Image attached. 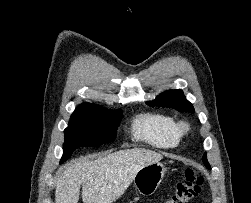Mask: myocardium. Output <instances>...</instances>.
Wrapping results in <instances>:
<instances>
[{
	"instance_id": "f54148a6",
	"label": "myocardium",
	"mask_w": 251,
	"mask_h": 203,
	"mask_svg": "<svg viewBox=\"0 0 251 203\" xmlns=\"http://www.w3.org/2000/svg\"><path fill=\"white\" fill-rule=\"evenodd\" d=\"M179 127L182 132H185L188 129V125L186 123H181Z\"/></svg>"
}]
</instances>
